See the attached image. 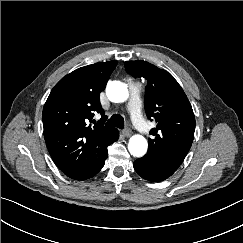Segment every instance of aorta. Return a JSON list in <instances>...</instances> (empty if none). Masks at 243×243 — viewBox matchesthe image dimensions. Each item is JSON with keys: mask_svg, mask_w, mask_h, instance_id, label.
<instances>
[{"mask_svg": "<svg viewBox=\"0 0 243 243\" xmlns=\"http://www.w3.org/2000/svg\"><path fill=\"white\" fill-rule=\"evenodd\" d=\"M106 95L111 102L121 103L128 99L129 92L127 86L120 81H111L107 84ZM148 143L145 137L133 135L128 143V150L135 157H142L146 154Z\"/></svg>", "mask_w": 243, "mask_h": 243, "instance_id": "1", "label": "aorta"}]
</instances>
